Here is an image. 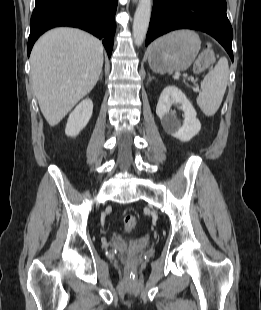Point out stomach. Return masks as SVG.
Masks as SVG:
<instances>
[{
    "label": "stomach",
    "mask_w": 261,
    "mask_h": 310,
    "mask_svg": "<svg viewBox=\"0 0 261 310\" xmlns=\"http://www.w3.org/2000/svg\"><path fill=\"white\" fill-rule=\"evenodd\" d=\"M200 46V38L193 31L171 32L149 47V65L157 73L185 71L195 60Z\"/></svg>",
    "instance_id": "1"
}]
</instances>
